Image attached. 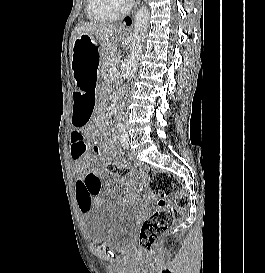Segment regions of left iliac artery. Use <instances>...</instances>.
<instances>
[{
    "label": "left iliac artery",
    "instance_id": "1",
    "mask_svg": "<svg viewBox=\"0 0 265 273\" xmlns=\"http://www.w3.org/2000/svg\"><path fill=\"white\" fill-rule=\"evenodd\" d=\"M117 128L120 132H125V125L123 123H118Z\"/></svg>",
    "mask_w": 265,
    "mask_h": 273
}]
</instances>
